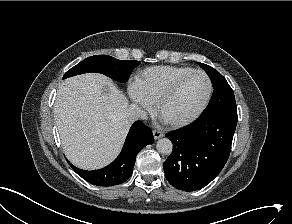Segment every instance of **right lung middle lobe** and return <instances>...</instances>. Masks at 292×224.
Returning <instances> with one entry per match:
<instances>
[{"label": "right lung middle lobe", "instance_id": "dd1d6c3e", "mask_svg": "<svg viewBox=\"0 0 292 224\" xmlns=\"http://www.w3.org/2000/svg\"><path fill=\"white\" fill-rule=\"evenodd\" d=\"M139 64L140 62L134 60L122 61L108 55H96L86 58L68 70L63 79L87 72H96L118 82H126L134 68Z\"/></svg>", "mask_w": 292, "mask_h": 224}]
</instances>
